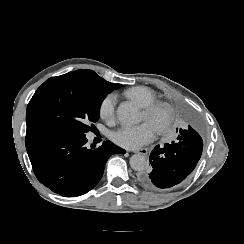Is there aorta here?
I'll return each instance as SVG.
<instances>
[{"label": "aorta", "instance_id": "aorta-1", "mask_svg": "<svg viewBox=\"0 0 244 244\" xmlns=\"http://www.w3.org/2000/svg\"><path fill=\"white\" fill-rule=\"evenodd\" d=\"M118 119L125 125L131 126L141 121L139 109L131 102H123L117 108ZM130 167L135 171H142L147 166V159L141 154L130 157Z\"/></svg>", "mask_w": 244, "mask_h": 244}]
</instances>
